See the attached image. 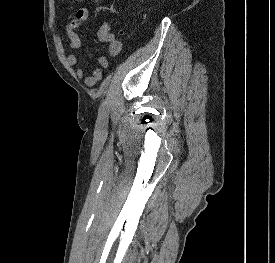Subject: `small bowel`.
I'll list each match as a JSON object with an SVG mask.
<instances>
[{
    "mask_svg": "<svg viewBox=\"0 0 275 263\" xmlns=\"http://www.w3.org/2000/svg\"><path fill=\"white\" fill-rule=\"evenodd\" d=\"M90 16V9L83 7L78 9L74 16L69 20L66 25V33L69 40V47L72 50H77L81 47V39L79 36V30L81 25L88 20ZM98 38L101 42L105 43L108 48V52L111 56H118L122 51L121 41L111 32L108 27H103L98 31ZM67 62L71 67H75L78 63L77 55L71 53L67 57ZM99 68H96L91 74H84L82 67L76 68V76L78 79L83 80L89 87L94 86L103 77L104 71L108 69L109 62L105 56H101L98 59Z\"/></svg>",
    "mask_w": 275,
    "mask_h": 263,
    "instance_id": "1",
    "label": "small bowel"
}]
</instances>
